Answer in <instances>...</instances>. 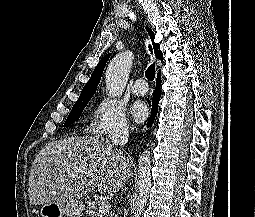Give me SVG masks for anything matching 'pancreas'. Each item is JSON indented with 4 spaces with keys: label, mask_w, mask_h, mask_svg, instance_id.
<instances>
[{
    "label": "pancreas",
    "mask_w": 255,
    "mask_h": 217,
    "mask_svg": "<svg viewBox=\"0 0 255 217\" xmlns=\"http://www.w3.org/2000/svg\"><path fill=\"white\" fill-rule=\"evenodd\" d=\"M100 201L98 200H92L90 202H87V210L86 214L88 217H95L98 214ZM106 217H117L114 213H110V216Z\"/></svg>",
    "instance_id": "pancreas-1"
}]
</instances>
